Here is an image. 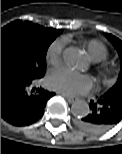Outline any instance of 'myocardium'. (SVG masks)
<instances>
[{
  "mask_svg": "<svg viewBox=\"0 0 122 154\" xmlns=\"http://www.w3.org/2000/svg\"><path fill=\"white\" fill-rule=\"evenodd\" d=\"M98 73L102 78H107V76L110 74L111 69L110 67L103 63L100 66L97 67Z\"/></svg>",
  "mask_w": 122,
  "mask_h": 154,
  "instance_id": "obj_1",
  "label": "myocardium"
}]
</instances>
